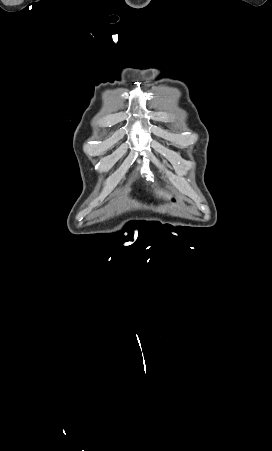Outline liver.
Wrapping results in <instances>:
<instances>
[{"instance_id":"6515ba94","label":"liver","mask_w":272,"mask_h":451,"mask_svg":"<svg viewBox=\"0 0 272 451\" xmlns=\"http://www.w3.org/2000/svg\"><path fill=\"white\" fill-rule=\"evenodd\" d=\"M156 194H158L159 198H164V200H169L170 196L167 192H163V190H157Z\"/></svg>"}]
</instances>
